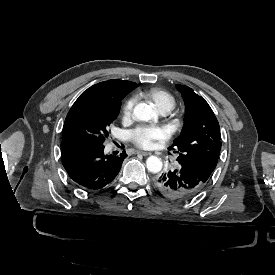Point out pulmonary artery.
I'll list each match as a JSON object with an SVG mask.
<instances>
[{"mask_svg": "<svg viewBox=\"0 0 275 275\" xmlns=\"http://www.w3.org/2000/svg\"><path fill=\"white\" fill-rule=\"evenodd\" d=\"M167 117V114L165 113V111H162L161 112H158L156 115H155V118L157 120H161V119H165ZM110 148L113 149L114 148V144H111L110 145ZM172 164H175V161H172Z\"/></svg>", "mask_w": 275, "mask_h": 275, "instance_id": "e3ab8cb5", "label": "pulmonary artery"}]
</instances>
